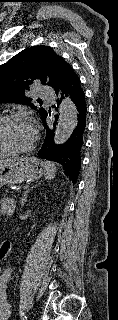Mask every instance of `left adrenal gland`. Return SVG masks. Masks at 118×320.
<instances>
[{
    "instance_id": "a2214340",
    "label": "left adrenal gland",
    "mask_w": 118,
    "mask_h": 320,
    "mask_svg": "<svg viewBox=\"0 0 118 320\" xmlns=\"http://www.w3.org/2000/svg\"><path fill=\"white\" fill-rule=\"evenodd\" d=\"M41 183H38L37 185L32 186L31 188H28L22 198H21V206L23 207L25 205V203L27 202V197H28V193L30 192V190H32L33 188H35L36 186L40 185Z\"/></svg>"
}]
</instances>
